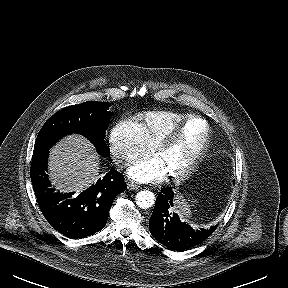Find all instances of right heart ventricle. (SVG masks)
<instances>
[{
  "mask_svg": "<svg viewBox=\"0 0 288 288\" xmlns=\"http://www.w3.org/2000/svg\"><path fill=\"white\" fill-rule=\"evenodd\" d=\"M189 115V113L170 110L148 111L138 116V124L145 139L155 147L159 138L167 130Z\"/></svg>",
  "mask_w": 288,
  "mask_h": 288,
  "instance_id": "1",
  "label": "right heart ventricle"
}]
</instances>
